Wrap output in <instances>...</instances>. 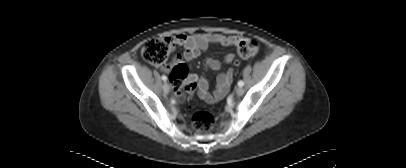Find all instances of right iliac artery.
<instances>
[{
	"mask_svg": "<svg viewBox=\"0 0 406 168\" xmlns=\"http://www.w3.org/2000/svg\"><path fill=\"white\" fill-rule=\"evenodd\" d=\"M162 80H163V81H166V80H167V77H166L165 75H163V76H162Z\"/></svg>",
	"mask_w": 406,
	"mask_h": 168,
	"instance_id": "82829eb1",
	"label": "right iliac artery"
}]
</instances>
